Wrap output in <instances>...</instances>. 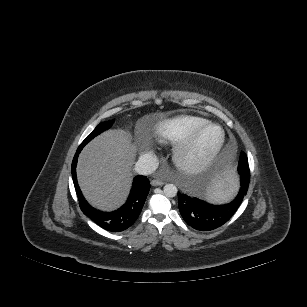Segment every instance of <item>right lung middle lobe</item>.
<instances>
[{
    "label": "right lung middle lobe",
    "instance_id": "1",
    "mask_svg": "<svg viewBox=\"0 0 307 307\" xmlns=\"http://www.w3.org/2000/svg\"><path fill=\"white\" fill-rule=\"evenodd\" d=\"M113 121H106L100 123L82 142L80 146L84 147L89 141H91L95 136L99 135L104 130L110 128Z\"/></svg>",
    "mask_w": 307,
    "mask_h": 307
}]
</instances>
